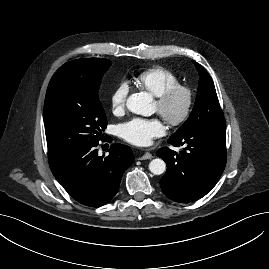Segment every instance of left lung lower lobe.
I'll use <instances>...</instances> for the list:
<instances>
[{
  "mask_svg": "<svg viewBox=\"0 0 269 269\" xmlns=\"http://www.w3.org/2000/svg\"><path fill=\"white\" fill-rule=\"evenodd\" d=\"M226 126L196 127L169 138L175 147L184 146L180 154L163 147L156 154L167 164L160 180L162 192L181 203L205 196L217 183L226 165Z\"/></svg>",
  "mask_w": 269,
  "mask_h": 269,
  "instance_id": "obj_1",
  "label": "left lung lower lobe"
}]
</instances>
